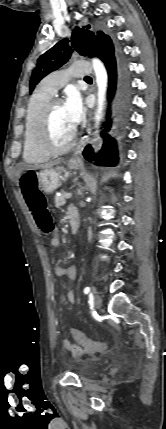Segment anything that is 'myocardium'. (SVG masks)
<instances>
[{"label":"myocardium","mask_w":166,"mask_h":429,"mask_svg":"<svg viewBox=\"0 0 166 429\" xmlns=\"http://www.w3.org/2000/svg\"><path fill=\"white\" fill-rule=\"evenodd\" d=\"M63 103L59 97H52L44 106L38 122L37 139L39 146L48 154L56 155L69 151L76 142L77 129L74 127L73 132L67 143L56 145L51 138L50 120L54 108Z\"/></svg>","instance_id":"1"}]
</instances>
